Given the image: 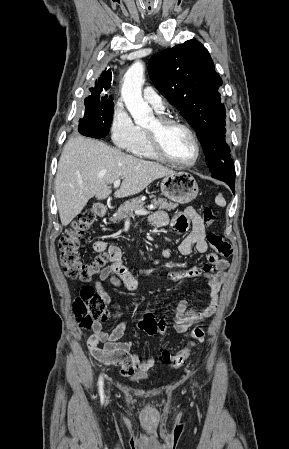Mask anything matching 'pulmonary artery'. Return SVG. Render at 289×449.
Wrapping results in <instances>:
<instances>
[{
    "mask_svg": "<svg viewBox=\"0 0 289 449\" xmlns=\"http://www.w3.org/2000/svg\"><path fill=\"white\" fill-rule=\"evenodd\" d=\"M143 97L156 111L164 110V103L161 96L150 86L144 88Z\"/></svg>",
    "mask_w": 289,
    "mask_h": 449,
    "instance_id": "obj_1",
    "label": "pulmonary artery"
}]
</instances>
